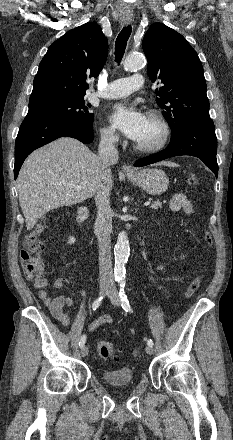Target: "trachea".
<instances>
[{"label":"trachea","instance_id":"3493384b","mask_svg":"<svg viewBox=\"0 0 233 440\" xmlns=\"http://www.w3.org/2000/svg\"><path fill=\"white\" fill-rule=\"evenodd\" d=\"M131 26H125L119 33L115 42V61L120 63L125 52L127 41L131 35Z\"/></svg>","mask_w":233,"mask_h":440}]
</instances>
